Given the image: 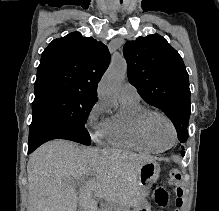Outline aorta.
I'll return each instance as SVG.
<instances>
[{"instance_id": "obj_1", "label": "aorta", "mask_w": 219, "mask_h": 211, "mask_svg": "<svg viewBox=\"0 0 219 211\" xmlns=\"http://www.w3.org/2000/svg\"><path fill=\"white\" fill-rule=\"evenodd\" d=\"M127 64L124 58H114L98 87L100 99L108 105L116 104L121 83L126 76Z\"/></svg>"}]
</instances>
